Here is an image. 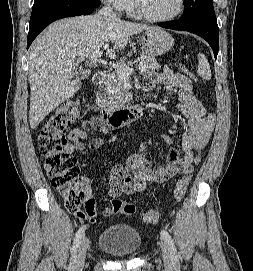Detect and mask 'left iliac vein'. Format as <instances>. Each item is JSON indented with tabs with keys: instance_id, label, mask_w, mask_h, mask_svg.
<instances>
[{
	"instance_id": "left-iliac-vein-1",
	"label": "left iliac vein",
	"mask_w": 253,
	"mask_h": 271,
	"mask_svg": "<svg viewBox=\"0 0 253 271\" xmlns=\"http://www.w3.org/2000/svg\"><path fill=\"white\" fill-rule=\"evenodd\" d=\"M161 248H162V258H163L164 265L167 268H170L172 265L170 252L164 243L161 244Z\"/></svg>"
}]
</instances>
